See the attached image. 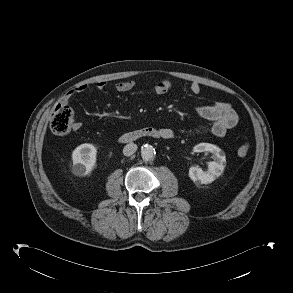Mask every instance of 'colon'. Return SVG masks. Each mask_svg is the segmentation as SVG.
I'll use <instances>...</instances> for the list:
<instances>
[{
    "mask_svg": "<svg viewBox=\"0 0 293 293\" xmlns=\"http://www.w3.org/2000/svg\"><path fill=\"white\" fill-rule=\"evenodd\" d=\"M73 111L66 103L58 104L51 116L49 128L53 134L65 135L71 130ZM249 144L245 143L238 149V155L245 157L249 153Z\"/></svg>",
    "mask_w": 293,
    "mask_h": 293,
    "instance_id": "1",
    "label": "colon"
}]
</instances>
